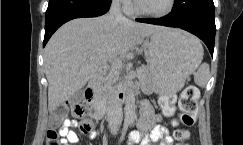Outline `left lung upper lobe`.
I'll return each mask as SVG.
<instances>
[{
  "mask_svg": "<svg viewBox=\"0 0 243 145\" xmlns=\"http://www.w3.org/2000/svg\"><path fill=\"white\" fill-rule=\"evenodd\" d=\"M172 10L190 20L214 22L213 0H174Z\"/></svg>",
  "mask_w": 243,
  "mask_h": 145,
  "instance_id": "obj_1",
  "label": "left lung upper lobe"
}]
</instances>
